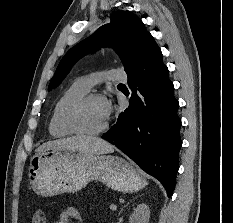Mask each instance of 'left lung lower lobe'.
Listing matches in <instances>:
<instances>
[{
  "mask_svg": "<svg viewBox=\"0 0 233 223\" xmlns=\"http://www.w3.org/2000/svg\"><path fill=\"white\" fill-rule=\"evenodd\" d=\"M127 75L132 91L130 105L102 138L157 178L170 197L179 167L181 120L173 83L155 42Z\"/></svg>",
  "mask_w": 233,
  "mask_h": 223,
  "instance_id": "left-lung-lower-lobe-1",
  "label": "left lung lower lobe"
}]
</instances>
